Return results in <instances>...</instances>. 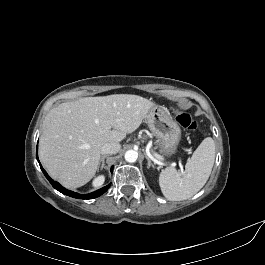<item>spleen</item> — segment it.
I'll list each match as a JSON object with an SVG mask.
<instances>
[{
	"label": "spleen",
	"mask_w": 265,
	"mask_h": 265,
	"mask_svg": "<svg viewBox=\"0 0 265 265\" xmlns=\"http://www.w3.org/2000/svg\"><path fill=\"white\" fill-rule=\"evenodd\" d=\"M215 161V143L205 138L186 163L185 170L178 172L168 167L159 176L163 195L171 201L186 200L195 195L207 182Z\"/></svg>",
	"instance_id": "spleen-1"
}]
</instances>
